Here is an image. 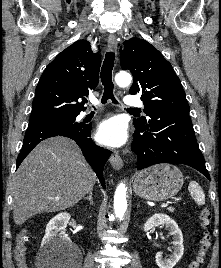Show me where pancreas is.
Instances as JSON below:
<instances>
[{"label": "pancreas", "instance_id": "cf45deb5", "mask_svg": "<svg viewBox=\"0 0 221 268\" xmlns=\"http://www.w3.org/2000/svg\"><path fill=\"white\" fill-rule=\"evenodd\" d=\"M168 211L173 212L174 208H168Z\"/></svg>", "mask_w": 221, "mask_h": 268}]
</instances>
